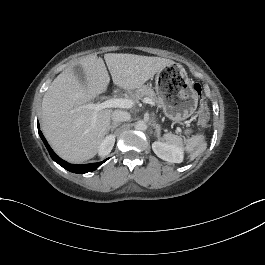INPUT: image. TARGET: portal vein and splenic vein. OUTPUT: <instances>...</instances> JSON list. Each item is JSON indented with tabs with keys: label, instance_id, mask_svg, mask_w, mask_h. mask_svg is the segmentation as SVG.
<instances>
[{
	"label": "portal vein and splenic vein",
	"instance_id": "1",
	"mask_svg": "<svg viewBox=\"0 0 265 265\" xmlns=\"http://www.w3.org/2000/svg\"><path fill=\"white\" fill-rule=\"evenodd\" d=\"M145 103H152L150 99L145 98ZM84 106L87 109L94 110L93 117L96 118L99 111L107 108H128L132 106V102L128 99L120 98V99H109L105 100L102 103L90 104L85 103Z\"/></svg>",
	"mask_w": 265,
	"mask_h": 265
}]
</instances>
